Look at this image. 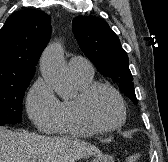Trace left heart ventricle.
Here are the masks:
<instances>
[{"label": "left heart ventricle", "instance_id": "left-heart-ventricle-1", "mask_svg": "<svg viewBox=\"0 0 168 162\" xmlns=\"http://www.w3.org/2000/svg\"><path fill=\"white\" fill-rule=\"evenodd\" d=\"M88 110L93 120L100 125H112L120 118L118 102L106 89H99L92 94L88 101Z\"/></svg>", "mask_w": 168, "mask_h": 162}]
</instances>
